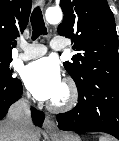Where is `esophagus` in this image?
I'll return each mask as SVG.
<instances>
[{"instance_id":"esophagus-1","label":"esophagus","mask_w":119,"mask_h":141,"mask_svg":"<svg viewBox=\"0 0 119 141\" xmlns=\"http://www.w3.org/2000/svg\"><path fill=\"white\" fill-rule=\"evenodd\" d=\"M39 3H44V1H39L36 0L35 4H39ZM43 127L47 132H53L56 129V124L55 121L53 120V118L49 115H47L45 117L44 123H43Z\"/></svg>"}]
</instances>
